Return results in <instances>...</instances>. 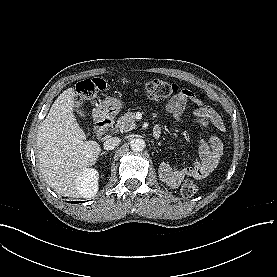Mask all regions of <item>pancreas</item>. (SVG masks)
Listing matches in <instances>:
<instances>
[{"instance_id": "1", "label": "pancreas", "mask_w": 277, "mask_h": 277, "mask_svg": "<svg viewBox=\"0 0 277 277\" xmlns=\"http://www.w3.org/2000/svg\"><path fill=\"white\" fill-rule=\"evenodd\" d=\"M116 128L122 131H130L136 127L135 114L133 112H127L121 116L116 123Z\"/></svg>"}]
</instances>
